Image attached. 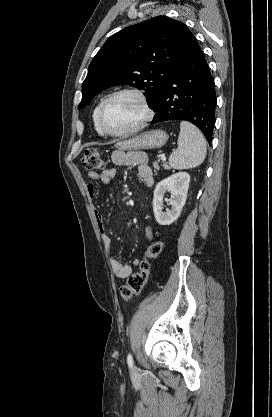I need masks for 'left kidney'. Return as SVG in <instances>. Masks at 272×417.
Listing matches in <instances>:
<instances>
[{
    "label": "left kidney",
    "instance_id": "1",
    "mask_svg": "<svg viewBox=\"0 0 272 417\" xmlns=\"http://www.w3.org/2000/svg\"><path fill=\"white\" fill-rule=\"evenodd\" d=\"M190 175L187 172H178L160 181L154 190L153 211L158 224L170 225L180 216L185 205L189 188ZM171 193L169 205L171 209L163 211V197L165 192Z\"/></svg>",
    "mask_w": 272,
    "mask_h": 417
}]
</instances>
